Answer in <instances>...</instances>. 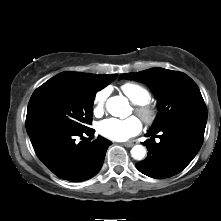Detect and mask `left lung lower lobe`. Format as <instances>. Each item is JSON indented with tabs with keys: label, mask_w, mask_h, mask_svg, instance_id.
<instances>
[{
	"label": "left lung lower lobe",
	"mask_w": 221,
	"mask_h": 221,
	"mask_svg": "<svg viewBox=\"0 0 221 221\" xmlns=\"http://www.w3.org/2000/svg\"><path fill=\"white\" fill-rule=\"evenodd\" d=\"M207 115H189L178 118L163 128L149 131L152 136L143 144L148 155L136 164L137 169L152 178L162 179L180 173L200 150ZM160 142H154L155 135Z\"/></svg>",
	"instance_id": "obj_1"
}]
</instances>
